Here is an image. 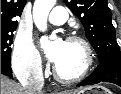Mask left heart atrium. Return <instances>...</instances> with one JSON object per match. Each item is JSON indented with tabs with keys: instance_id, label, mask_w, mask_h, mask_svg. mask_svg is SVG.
Returning <instances> with one entry per match:
<instances>
[{
	"instance_id": "1",
	"label": "left heart atrium",
	"mask_w": 121,
	"mask_h": 94,
	"mask_svg": "<svg viewBox=\"0 0 121 94\" xmlns=\"http://www.w3.org/2000/svg\"><path fill=\"white\" fill-rule=\"evenodd\" d=\"M65 42L63 40H56L55 42L52 43H47L45 42V50L47 57L49 58L50 61L56 63L64 49Z\"/></svg>"
}]
</instances>
